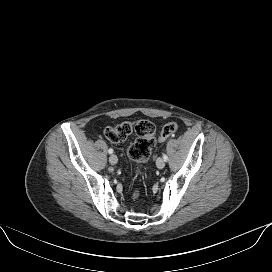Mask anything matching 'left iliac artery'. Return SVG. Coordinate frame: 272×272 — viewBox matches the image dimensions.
I'll list each match as a JSON object with an SVG mask.
<instances>
[{
	"label": "left iliac artery",
	"instance_id": "obj_1",
	"mask_svg": "<svg viewBox=\"0 0 272 272\" xmlns=\"http://www.w3.org/2000/svg\"><path fill=\"white\" fill-rule=\"evenodd\" d=\"M163 159H164L165 161H167V160H168V156H167L166 154H163Z\"/></svg>",
	"mask_w": 272,
	"mask_h": 272
}]
</instances>
